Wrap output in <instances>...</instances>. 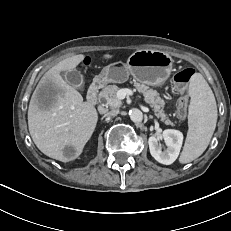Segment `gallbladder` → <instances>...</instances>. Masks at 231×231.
<instances>
[{
	"mask_svg": "<svg viewBox=\"0 0 231 231\" xmlns=\"http://www.w3.org/2000/svg\"><path fill=\"white\" fill-rule=\"evenodd\" d=\"M64 77L66 82L74 87H80L83 84V76L77 70L65 72Z\"/></svg>",
	"mask_w": 231,
	"mask_h": 231,
	"instance_id": "obj_1",
	"label": "gallbladder"
}]
</instances>
